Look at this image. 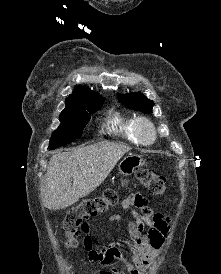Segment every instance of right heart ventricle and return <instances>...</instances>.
<instances>
[{
  "instance_id": "right-heart-ventricle-1",
  "label": "right heart ventricle",
  "mask_w": 221,
  "mask_h": 274,
  "mask_svg": "<svg viewBox=\"0 0 221 274\" xmlns=\"http://www.w3.org/2000/svg\"><path fill=\"white\" fill-rule=\"evenodd\" d=\"M136 121L134 116L124 115L120 112H111L107 118V129L110 133L118 135L123 139L134 143L141 144L136 134Z\"/></svg>"
}]
</instances>
